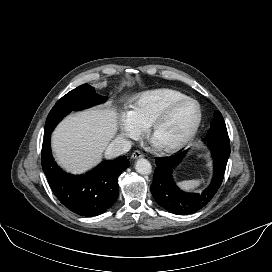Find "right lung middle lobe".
Listing matches in <instances>:
<instances>
[{
    "instance_id": "obj_1",
    "label": "right lung middle lobe",
    "mask_w": 272,
    "mask_h": 272,
    "mask_svg": "<svg viewBox=\"0 0 272 272\" xmlns=\"http://www.w3.org/2000/svg\"><path fill=\"white\" fill-rule=\"evenodd\" d=\"M106 99L107 97L98 95L95 89L88 84L73 89L59 99L50 111L46 119L44 135L51 133L57 123L72 110H82L103 103Z\"/></svg>"
}]
</instances>
